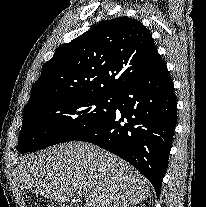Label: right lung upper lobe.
<instances>
[{
    "instance_id": "1",
    "label": "right lung upper lobe",
    "mask_w": 206,
    "mask_h": 207,
    "mask_svg": "<svg viewBox=\"0 0 206 207\" xmlns=\"http://www.w3.org/2000/svg\"><path fill=\"white\" fill-rule=\"evenodd\" d=\"M159 57L140 21L107 20L56 50L42 67L24 111L53 100L116 95Z\"/></svg>"
}]
</instances>
